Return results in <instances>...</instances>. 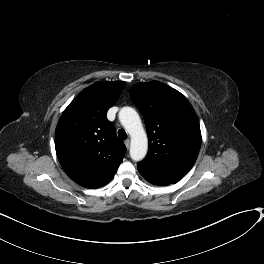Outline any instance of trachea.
I'll return each mask as SVG.
<instances>
[{
    "mask_svg": "<svg viewBox=\"0 0 264 264\" xmlns=\"http://www.w3.org/2000/svg\"><path fill=\"white\" fill-rule=\"evenodd\" d=\"M118 137L121 140H126L127 139V133L125 132L124 129H119L118 130Z\"/></svg>",
    "mask_w": 264,
    "mask_h": 264,
    "instance_id": "1",
    "label": "trachea"
}]
</instances>
